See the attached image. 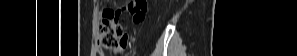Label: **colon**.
<instances>
[{
    "label": "colon",
    "mask_w": 297,
    "mask_h": 56,
    "mask_svg": "<svg viewBox=\"0 0 297 56\" xmlns=\"http://www.w3.org/2000/svg\"><path fill=\"white\" fill-rule=\"evenodd\" d=\"M135 23L142 22L146 17V0H133L129 5ZM122 10L106 9L98 22V47L110 50L119 47V40L123 33L120 24Z\"/></svg>",
    "instance_id": "1"
}]
</instances>
